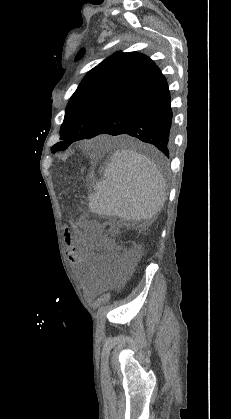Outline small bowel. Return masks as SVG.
Returning a JSON list of instances; mask_svg holds the SVG:
<instances>
[{"instance_id": "obj_1", "label": "small bowel", "mask_w": 231, "mask_h": 419, "mask_svg": "<svg viewBox=\"0 0 231 419\" xmlns=\"http://www.w3.org/2000/svg\"><path fill=\"white\" fill-rule=\"evenodd\" d=\"M68 258L74 265H81L89 257L90 242L84 237L82 225L75 224L65 230Z\"/></svg>"}]
</instances>
